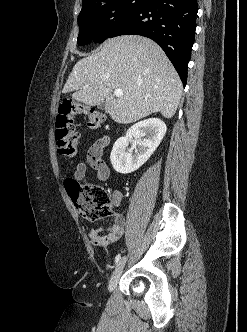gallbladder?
Returning <instances> with one entry per match:
<instances>
[{"label":"gallbladder","mask_w":247,"mask_h":332,"mask_svg":"<svg viewBox=\"0 0 247 332\" xmlns=\"http://www.w3.org/2000/svg\"><path fill=\"white\" fill-rule=\"evenodd\" d=\"M98 108L103 110V109L105 108V102H101V103L98 105Z\"/></svg>","instance_id":"bac80fb5"}]
</instances>
